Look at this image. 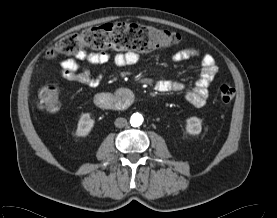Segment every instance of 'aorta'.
<instances>
[{
  "mask_svg": "<svg viewBox=\"0 0 277 218\" xmlns=\"http://www.w3.org/2000/svg\"><path fill=\"white\" fill-rule=\"evenodd\" d=\"M143 123V116L139 113H134L130 118V124L133 127H138Z\"/></svg>",
  "mask_w": 277,
  "mask_h": 218,
  "instance_id": "762f6f07",
  "label": "aorta"
}]
</instances>
